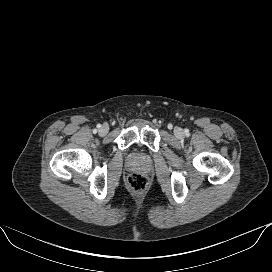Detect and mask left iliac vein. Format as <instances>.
<instances>
[{
    "label": "left iliac vein",
    "instance_id": "obj_1",
    "mask_svg": "<svg viewBox=\"0 0 272 272\" xmlns=\"http://www.w3.org/2000/svg\"><path fill=\"white\" fill-rule=\"evenodd\" d=\"M174 133H175L176 137H178V138L183 136V131L180 128H176Z\"/></svg>",
    "mask_w": 272,
    "mask_h": 272
}]
</instances>
